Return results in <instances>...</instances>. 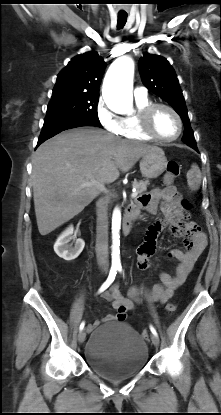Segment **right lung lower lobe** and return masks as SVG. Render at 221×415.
I'll list each match as a JSON object with an SVG mask.
<instances>
[{
    "instance_id": "obj_1",
    "label": "right lung lower lobe",
    "mask_w": 221,
    "mask_h": 415,
    "mask_svg": "<svg viewBox=\"0 0 221 415\" xmlns=\"http://www.w3.org/2000/svg\"><path fill=\"white\" fill-rule=\"evenodd\" d=\"M81 126H98L99 124L94 123L90 120L77 117H59V116H46L44 120V125L40 133L37 147L46 141L47 139L55 136L56 134L71 128L81 127ZM36 147V148H37Z\"/></svg>"
}]
</instances>
